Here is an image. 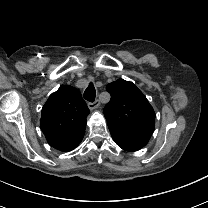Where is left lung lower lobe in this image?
<instances>
[{
	"label": "left lung lower lobe",
	"instance_id": "1",
	"mask_svg": "<svg viewBox=\"0 0 208 208\" xmlns=\"http://www.w3.org/2000/svg\"><path fill=\"white\" fill-rule=\"evenodd\" d=\"M114 142L123 150L134 152L148 143V137L141 130H131L108 124Z\"/></svg>",
	"mask_w": 208,
	"mask_h": 208
}]
</instances>
